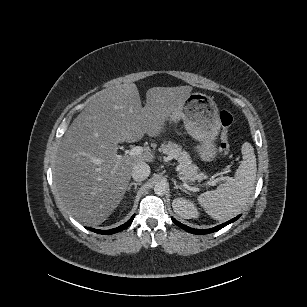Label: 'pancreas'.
Masks as SVG:
<instances>
[{
    "label": "pancreas",
    "instance_id": "1",
    "mask_svg": "<svg viewBox=\"0 0 307 307\" xmlns=\"http://www.w3.org/2000/svg\"><path fill=\"white\" fill-rule=\"evenodd\" d=\"M161 152L173 156L181 164L182 167L179 177L183 178V180L200 182L206 178L203 173H199V168L195 164H192L190 155L182 150V146L172 141H168L167 143L162 144Z\"/></svg>",
    "mask_w": 307,
    "mask_h": 307
}]
</instances>
